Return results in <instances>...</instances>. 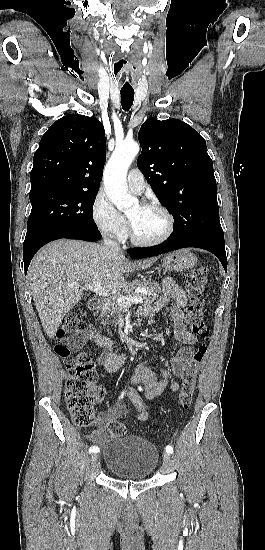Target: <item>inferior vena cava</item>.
<instances>
[{
    "mask_svg": "<svg viewBox=\"0 0 265 550\" xmlns=\"http://www.w3.org/2000/svg\"><path fill=\"white\" fill-rule=\"evenodd\" d=\"M104 244L112 253H122L119 244L107 237L104 238Z\"/></svg>",
    "mask_w": 265,
    "mask_h": 550,
    "instance_id": "inferior-vena-cava-1",
    "label": "inferior vena cava"
}]
</instances>
